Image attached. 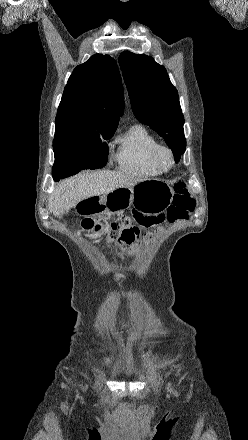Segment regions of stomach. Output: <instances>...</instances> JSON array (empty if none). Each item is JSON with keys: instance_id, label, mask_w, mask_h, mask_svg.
<instances>
[{"instance_id": "obj_1", "label": "stomach", "mask_w": 248, "mask_h": 440, "mask_svg": "<svg viewBox=\"0 0 248 440\" xmlns=\"http://www.w3.org/2000/svg\"><path fill=\"white\" fill-rule=\"evenodd\" d=\"M173 189L159 180H145L133 187L118 188L110 193L88 198L89 204H77L75 225L79 232H106V223H100V218H109L114 213L128 208L139 198L142 209L151 213H159L168 207L172 201ZM87 200V199H85Z\"/></svg>"}]
</instances>
